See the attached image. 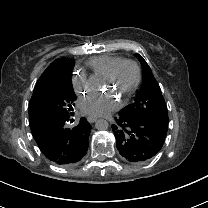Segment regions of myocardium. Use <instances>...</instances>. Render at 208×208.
I'll return each mask as SVG.
<instances>
[{
	"label": "myocardium",
	"instance_id": "1",
	"mask_svg": "<svg viewBox=\"0 0 208 208\" xmlns=\"http://www.w3.org/2000/svg\"><path fill=\"white\" fill-rule=\"evenodd\" d=\"M131 65L134 69V79L132 84L130 85L128 91L126 94L123 96L125 100L129 99L136 91L138 88L141 78H142V73H141V68L140 65L132 60V59H121L115 66L114 68L110 71L108 75H106L104 78L101 79L102 85H107V84H112L115 80V77L117 75L118 70L120 69L121 66L123 65ZM123 104V101L121 102L120 105Z\"/></svg>",
	"mask_w": 208,
	"mask_h": 208
}]
</instances>
